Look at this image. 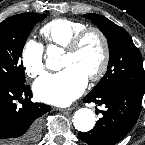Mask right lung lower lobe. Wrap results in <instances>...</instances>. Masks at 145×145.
I'll return each instance as SVG.
<instances>
[{
    "label": "right lung lower lobe",
    "instance_id": "1",
    "mask_svg": "<svg viewBox=\"0 0 145 145\" xmlns=\"http://www.w3.org/2000/svg\"><path fill=\"white\" fill-rule=\"evenodd\" d=\"M28 85L0 83V145H36L40 138L38 118L51 107L31 102ZM16 100L22 103L18 108Z\"/></svg>",
    "mask_w": 145,
    "mask_h": 145
}]
</instances>
